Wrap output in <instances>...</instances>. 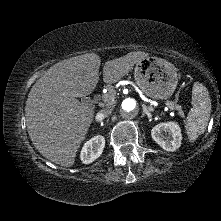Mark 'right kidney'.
Instances as JSON below:
<instances>
[{"mask_svg":"<svg viewBox=\"0 0 221 221\" xmlns=\"http://www.w3.org/2000/svg\"><path fill=\"white\" fill-rule=\"evenodd\" d=\"M105 138L101 135L94 136L86 141L82 147L80 158L84 164H90L96 160L103 152Z\"/></svg>","mask_w":221,"mask_h":221,"instance_id":"ca27d5eb","label":"right kidney"}]
</instances>
